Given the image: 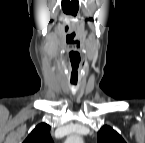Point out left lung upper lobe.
Listing matches in <instances>:
<instances>
[{
	"label": "left lung upper lobe",
	"instance_id": "1",
	"mask_svg": "<svg viewBox=\"0 0 145 143\" xmlns=\"http://www.w3.org/2000/svg\"><path fill=\"white\" fill-rule=\"evenodd\" d=\"M97 137L98 143H125L124 139L109 126H103Z\"/></svg>",
	"mask_w": 145,
	"mask_h": 143
}]
</instances>
